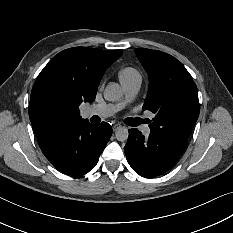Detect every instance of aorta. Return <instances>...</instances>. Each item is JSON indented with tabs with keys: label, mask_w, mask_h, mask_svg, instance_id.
<instances>
[{
	"label": "aorta",
	"mask_w": 233,
	"mask_h": 233,
	"mask_svg": "<svg viewBox=\"0 0 233 233\" xmlns=\"http://www.w3.org/2000/svg\"><path fill=\"white\" fill-rule=\"evenodd\" d=\"M122 96L123 90L118 83L111 82L106 86L104 91L105 100L115 102L118 101ZM128 135V130L125 127L115 131L116 139L121 142L126 141L128 139Z\"/></svg>",
	"instance_id": "762f6f07"
}]
</instances>
